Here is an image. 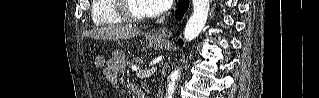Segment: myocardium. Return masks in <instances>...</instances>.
<instances>
[{"label":"myocardium","mask_w":319,"mask_h":98,"mask_svg":"<svg viewBox=\"0 0 319 98\" xmlns=\"http://www.w3.org/2000/svg\"><path fill=\"white\" fill-rule=\"evenodd\" d=\"M128 1L130 0H115V10L117 14L120 16V18L123 20L125 23L129 24H140L145 21H147L150 18L149 14H145L142 16H135L132 15L128 11Z\"/></svg>","instance_id":"1"}]
</instances>
